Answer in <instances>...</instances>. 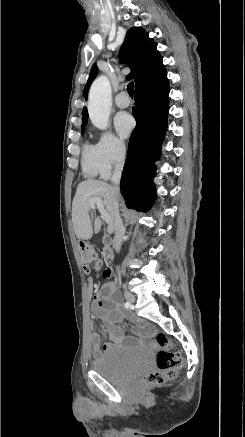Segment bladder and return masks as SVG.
<instances>
[{
    "label": "bladder",
    "mask_w": 245,
    "mask_h": 437,
    "mask_svg": "<svg viewBox=\"0 0 245 437\" xmlns=\"http://www.w3.org/2000/svg\"><path fill=\"white\" fill-rule=\"evenodd\" d=\"M151 363L152 351L149 348H114L93 360L91 366L109 382L122 385L146 371Z\"/></svg>",
    "instance_id": "bladder-1"
}]
</instances>
